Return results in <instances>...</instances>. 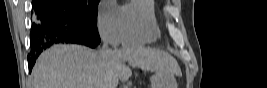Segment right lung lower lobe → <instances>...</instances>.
I'll list each match as a JSON object with an SVG mask.
<instances>
[{"label": "right lung lower lobe", "instance_id": "right-lung-lower-lobe-1", "mask_svg": "<svg viewBox=\"0 0 267 88\" xmlns=\"http://www.w3.org/2000/svg\"><path fill=\"white\" fill-rule=\"evenodd\" d=\"M29 72L43 49L56 43H78L95 48L100 43L96 24H90L50 0H34Z\"/></svg>", "mask_w": 267, "mask_h": 88}]
</instances>
